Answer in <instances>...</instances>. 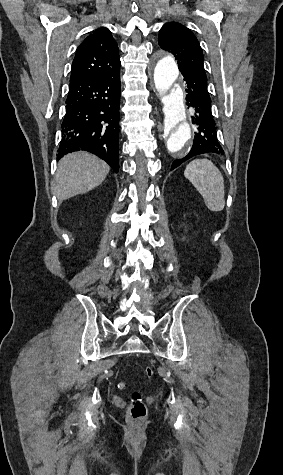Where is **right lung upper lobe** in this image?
<instances>
[{
    "label": "right lung upper lobe",
    "mask_w": 283,
    "mask_h": 475,
    "mask_svg": "<svg viewBox=\"0 0 283 475\" xmlns=\"http://www.w3.org/2000/svg\"><path fill=\"white\" fill-rule=\"evenodd\" d=\"M120 70L119 49L111 32L104 27L95 30L78 47L70 80L101 77Z\"/></svg>",
    "instance_id": "right-lung-upper-lobe-1"
}]
</instances>
